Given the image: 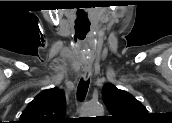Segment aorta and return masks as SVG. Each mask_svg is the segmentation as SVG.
Listing matches in <instances>:
<instances>
[{
  "label": "aorta",
  "mask_w": 172,
  "mask_h": 123,
  "mask_svg": "<svg viewBox=\"0 0 172 123\" xmlns=\"http://www.w3.org/2000/svg\"><path fill=\"white\" fill-rule=\"evenodd\" d=\"M103 114V107L100 104L87 102L84 106V115L86 117H96Z\"/></svg>",
  "instance_id": "obj_1"
}]
</instances>
